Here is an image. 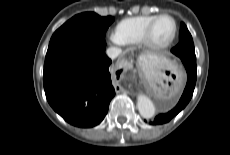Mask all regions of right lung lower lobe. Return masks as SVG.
<instances>
[{
	"mask_svg": "<svg viewBox=\"0 0 230 155\" xmlns=\"http://www.w3.org/2000/svg\"><path fill=\"white\" fill-rule=\"evenodd\" d=\"M105 45L66 46L46 54L43 84L47 101L74 126L98 125L115 95Z\"/></svg>",
	"mask_w": 230,
	"mask_h": 155,
	"instance_id": "obj_1",
	"label": "right lung lower lobe"
}]
</instances>
